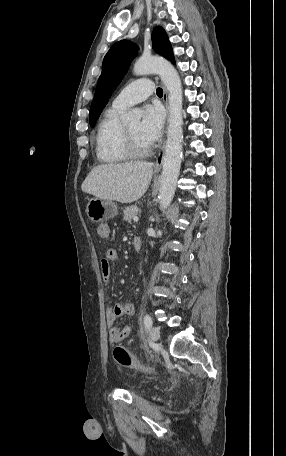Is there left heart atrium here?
<instances>
[{
  "mask_svg": "<svg viewBox=\"0 0 286 456\" xmlns=\"http://www.w3.org/2000/svg\"><path fill=\"white\" fill-rule=\"evenodd\" d=\"M164 125V112L158 105H146L143 110V119L140 123V134L153 144L159 139Z\"/></svg>",
  "mask_w": 286,
  "mask_h": 456,
  "instance_id": "39dd6f15",
  "label": "left heart atrium"
}]
</instances>
